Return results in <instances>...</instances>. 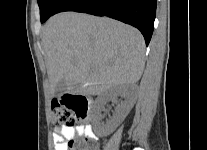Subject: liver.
Here are the masks:
<instances>
[{"label": "liver", "mask_w": 207, "mask_h": 150, "mask_svg": "<svg viewBox=\"0 0 207 150\" xmlns=\"http://www.w3.org/2000/svg\"><path fill=\"white\" fill-rule=\"evenodd\" d=\"M42 46L52 95L62 80L69 92L99 95L138 82L145 66L142 34L110 18L56 14L43 28Z\"/></svg>", "instance_id": "6515ba94"}]
</instances>
